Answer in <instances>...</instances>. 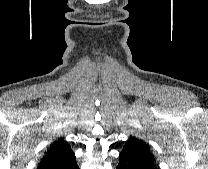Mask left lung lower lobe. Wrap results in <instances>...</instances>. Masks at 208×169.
I'll list each match as a JSON object with an SVG mask.
<instances>
[{"mask_svg": "<svg viewBox=\"0 0 208 169\" xmlns=\"http://www.w3.org/2000/svg\"><path fill=\"white\" fill-rule=\"evenodd\" d=\"M116 169H157L147 164L143 158L135 153L122 150L119 154V163Z\"/></svg>", "mask_w": 208, "mask_h": 169, "instance_id": "left-lung-lower-lobe-1", "label": "left lung lower lobe"}]
</instances>
